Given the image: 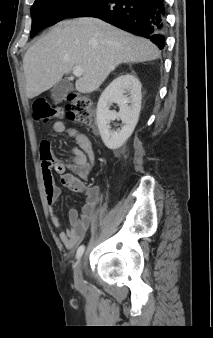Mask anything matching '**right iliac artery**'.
I'll return each instance as SVG.
<instances>
[{"instance_id": "right-iliac-artery-1", "label": "right iliac artery", "mask_w": 213, "mask_h": 338, "mask_svg": "<svg viewBox=\"0 0 213 338\" xmlns=\"http://www.w3.org/2000/svg\"><path fill=\"white\" fill-rule=\"evenodd\" d=\"M84 248H85L84 245H81V246L78 248V250H77L76 258H77L78 261L80 260V258H81L82 255H83Z\"/></svg>"}]
</instances>
